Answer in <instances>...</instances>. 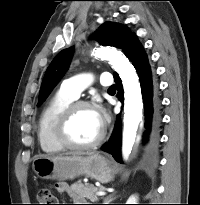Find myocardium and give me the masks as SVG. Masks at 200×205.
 <instances>
[{"label": "myocardium", "mask_w": 200, "mask_h": 205, "mask_svg": "<svg viewBox=\"0 0 200 205\" xmlns=\"http://www.w3.org/2000/svg\"><path fill=\"white\" fill-rule=\"evenodd\" d=\"M81 108L94 109V106L87 101H73L60 114L56 126L55 136L57 141L64 147L73 150H86L97 147L106 136V127L102 124L101 131L97 138L89 143H76L72 141L68 134L69 123L76 113Z\"/></svg>", "instance_id": "myocardium-1"}]
</instances>
